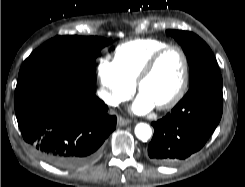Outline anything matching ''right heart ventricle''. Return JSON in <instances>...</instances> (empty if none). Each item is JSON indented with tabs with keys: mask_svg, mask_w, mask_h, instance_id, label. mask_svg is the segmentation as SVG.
<instances>
[{
	"mask_svg": "<svg viewBox=\"0 0 245 187\" xmlns=\"http://www.w3.org/2000/svg\"><path fill=\"white\" fill-rule=\"evenodd\" d=\"M169 45L167 42L156 38H140L126 41L118 45L114 52V61L133 84L147 62L157 50Z\"/></svg>",
	"mask_w": 245,
	"mask_h": 187,
	"instance_id": "e07e8e85",
	"label": "right heart ventricle"
}]
</instances>
